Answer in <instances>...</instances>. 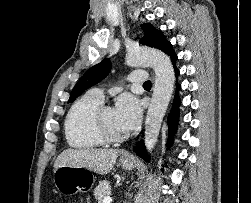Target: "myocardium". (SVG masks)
<instances>
[{
    "instance_id": "f54148a6",
    "label": "myocardium",
    "mask_w": 251,
    "mask_h": 203,
    "mask_svg": "<svg viewBox=\"0 0 251 203\" xmlns=\"http://www.w3.org/2000/svg\"><path fill=\"white\" fill-rule=\"evenodd\" d=\"M107 107L100 106L96 112L95 116V128L99 136L107 143H118L122 142L127 138L126 134H116L113 133L105 123L104 120V110Z\"/></svg>"
}]
</instances>
